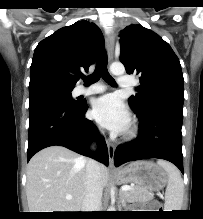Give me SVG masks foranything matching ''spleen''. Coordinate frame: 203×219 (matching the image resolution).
Listing matches in <instances>:
<instances>
[{
	"mask_svg": "<svg viewBox=\"0 0 203 219\" xmlns=\"http://www.w3.org/2000/svg\"><path fill=\"white\" fill-rule=\"evenodd\" d=\"M157 163L168 174V184L165 192L166 211L181 210L184 184L179 170L173 164L164 160H158Z\"/></svg>",
	"mask_w": 203,
	"mask_h": 219,
	"instance_id": "spleen-1",
	"label": "spleen"
}]
</instances>
